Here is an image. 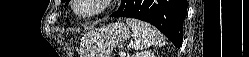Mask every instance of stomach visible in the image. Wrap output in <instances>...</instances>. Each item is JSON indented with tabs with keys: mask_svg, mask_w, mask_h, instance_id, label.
<instances>
[{
	"mask_svg": "<svg viewBox=\"0 0 249 57\" xmlns=\"http://www.w3.org/2000/svg\"><path fill=\"white\" fill-rule=\"evenodd\" d=\"M129 35V27L121 21L90 31L82 41L83 57H111L113 48L125 42Z\"/></svg>",
	"mask_w": 249,
	"mask_h": 57,
	"instance_id": "obj_1",
	"label": "stomach"
}]
</instances>
